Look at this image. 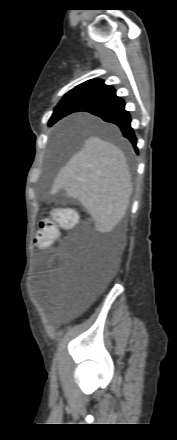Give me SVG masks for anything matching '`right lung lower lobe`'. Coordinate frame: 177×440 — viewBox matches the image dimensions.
<instances>
[{"label":"right lung lower lobe","instance_id":"98d812e1","mask_svg":"<svg viewBox=\"0 0 177 440\" xmlns=\"http://www.w3.org/2000/svg\"><path fill=\"white\" fill-rule=\"evenodd\" d=\"M80 111L90 112L91 114L102 118L106 122L117 125L120 128L123 136L130 140L135 148L136 153H138L136 147L137 139L130 124V115L128 111L125 110L124 101L120 97L116 96V94L91 103L82 108Z\"/></svg>","mask_w":177,"mask_h":440}]
</instances>
